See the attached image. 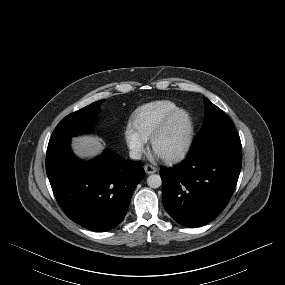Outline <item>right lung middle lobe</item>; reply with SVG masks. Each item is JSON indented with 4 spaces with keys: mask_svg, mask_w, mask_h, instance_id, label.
Segmentation results:
<instances>
[{
    "mask_svg": "<svg viewBox=\"0 0 285 285\" xmlns=\"http://www.w3.org/2000/svg\"><path fill=\"white\" fill-rule=\"evenodd\" d=\"M104 100L94 102L76 112H73L60 121L53 131L50 140L72 137L87 131L97 116L100 104Z\"/></svg>",
    "mask_w": 285,
    "mask_h": 285,
    "instance_id": "dd1d6c3e",
    "label": "right lung middle lobe"
}]
</instances>
